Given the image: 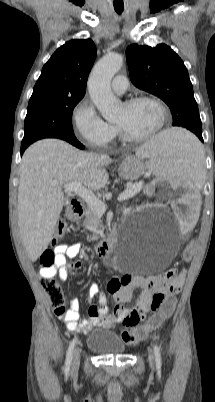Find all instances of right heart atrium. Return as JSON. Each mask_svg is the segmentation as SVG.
<instances>
[{
  "mask_svg": "<svg viewBox=\"0 0 215 402\" xmlns=\"http://www.w3.org/2000/svg\"><path fill=\"white\" fill-rule=\"evenodd\" d=\"M73 122L76 136L90 147H105L116 135V128L102 119L88 98L74 108Z\"/></svg>",
  "mask_w": 215,
  "mask_h": 402,
  "instance_id": "right-heart-atrium-1",
  "label": "right heart atrium"
}]
</instances>
